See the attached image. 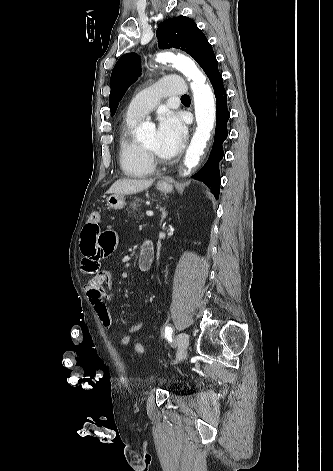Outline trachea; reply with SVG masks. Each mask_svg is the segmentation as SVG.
<instances>
[{"label":"trachea","mask_w":333,"mask_h":471,"mask_svg":"<svg viewBox=\"0 0 333 471\" xmlns=\"http://www.w3.org/2000/svg\"><path fill=\"white\" fill-rule=\"evenodd\" d=\"M181 99H190V97L188 95H183Z\"/></svg>","instance_id":"1"}]
</instances>
